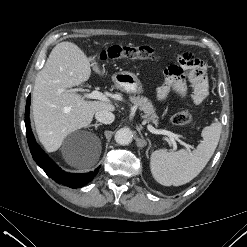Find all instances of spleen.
<instances>
[{
	"instance_id": "3e777b00",
	"label": "spleen",
	"mask_w": 247,
	"mask_h": 247,
	"mask_svg": "<svg viewBox=\"0 0 247 247\" xmlns=\"http://www.w3.org/2000/svg\"><path fill=\"white\" fill-rule=\"evenodd\" d=\"M222 126L215 122L202 131L203 141L193 151L156 150L150 157L154 179L164 186H180L194 179L207 165L218 145Z\"/></svg>"
}]
</instances>
